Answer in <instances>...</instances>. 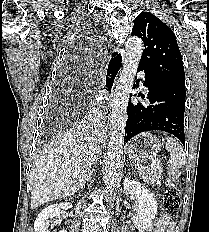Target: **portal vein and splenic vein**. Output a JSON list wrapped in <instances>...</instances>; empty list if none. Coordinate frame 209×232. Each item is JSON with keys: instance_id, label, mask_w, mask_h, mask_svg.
I'll return each mask as SVG.
<instances>
[{"instance_id": "1", "label": "portal vein and splenic vein", "mask_w": 209, "mask_h": 232, "mask_svg": "<svg viewBox=\"0 0 209 232\" xmlns=\"http://www.w3.org/2000/svg\"><path fill=\"white\" fill-rule=\"evenodd\" d=\"M157 165H160V160H157V159L153 160L151 167L153 168V167H156ZM139 169H141V168H139Z\"/></svg>"}]
</instances>
